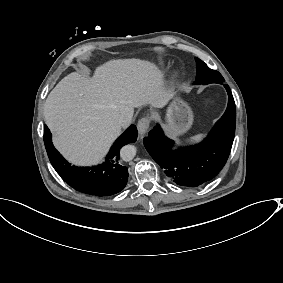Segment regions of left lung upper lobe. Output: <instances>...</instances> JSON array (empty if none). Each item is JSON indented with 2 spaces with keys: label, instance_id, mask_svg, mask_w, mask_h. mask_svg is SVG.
<instances>
[{
  "label": "left lung upper lobe",
  "instance_id": "left-lung-upper-lobe-1",
  "mask_svg": "<svg viewBox=\"0 0 283 283\" xmlns=\"http://www.w3.org/2000/svg\"><path fill=\"white\" fill-rule=\"evenodd\" d=\"M196 60V82L194 84H209L219 83L222 84L225 80L222 75L216 71L210 69L202 60L195 58Z\"/></svg>",
  "mask_w": 283,
  "mask_h": 283
}]
</instances>
